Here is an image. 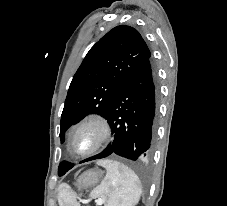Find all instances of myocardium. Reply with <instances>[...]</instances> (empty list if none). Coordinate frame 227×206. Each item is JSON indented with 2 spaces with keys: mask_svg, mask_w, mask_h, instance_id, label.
<instances>
[{
  "mask_svg": "<svg viewBox=\"0 0 227 206\" xmlns=\"http://www.w3.org/2000/svg\"><path fill=\"white\" fill-rule=\"evenodd\" d=\"M92 128L95 131V140L92 146L82 152L76 151L73 147V138L75 135L83 129ZM112 135L111 125L108 119L100 114V113H92L85 117H83L80 121H78L75 126L71 129L68 139L67 145L69 150L76 156L86 157L93 155L102 149L110 140Z\"/></svg>",
  "mask_w": 227,
  "mask_h": 206,
  "instance_id": "myocardium-1",
  "label": "myocardium"
}]
</instances>
